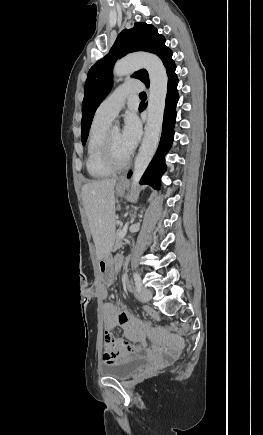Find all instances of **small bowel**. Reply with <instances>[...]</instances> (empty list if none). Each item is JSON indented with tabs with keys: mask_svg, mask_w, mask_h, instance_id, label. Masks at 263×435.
<instances>
[{
	"mask_svg": "<svg viewBox=\"0 0 263 435\" xmlns=\"http://www.w3.org/2000/svg\"><path fill=\"white\" fill-rule=\"evenodd\" d=\"M123 264V257L116 256L111 264L114 273L118 272ZM121 327L129 341H138L132 344L123 338L115 337L112 350L103 351V361L113 363L128 359L135 355L148 356L159 354L166 356L169 361H175L178 358L177 350H183V341H175L177 334L175 332H159L151 328L147 323L140 320L129 311L121 310L114 303L109 302L104 309V328L105 332H112L114 329ZM147 336L149 340L163 341L162 343H147L140 341ZM147 348V349H146ZM159 348V349H158Z\"/></svg>",
	"mask_w": 263,
	"mask_h": 435,
	"instance_id": "small-bowel-1",
	"label": "small bowel"
}]
</instances>
